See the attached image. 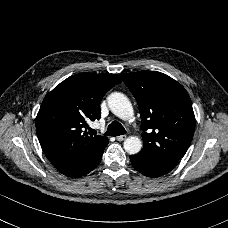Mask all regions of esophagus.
I'll return each instance as SVG.
<instances>
[{
    "mask_svg": "<svg viewBox=\"0 0 228 228\" xmlns=\"http://www.w3.org/2000/svg\"><path fill=\"white\" fill-rule=\"evenodd\" d=\"M126 138H127L126 135H120V136H117V137H116V140H117V141H124Z\"/></svg>",
    "mask_w": 228,
    "mask_h": 228,
    "instance_id": "esophagus-1",
    "label": "esophagus"
}]
</instances>
